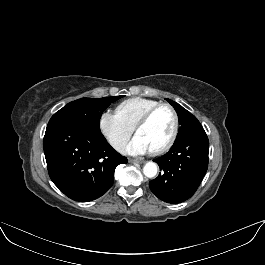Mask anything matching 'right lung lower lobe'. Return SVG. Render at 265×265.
<instances>
[{
    "mask_svg": "<svg viewBox=\"0 0 265 265\" xmlns=\"http://www.w3.org/2000/svg\"><path fill=\"white\" fill-rule=\"evenodd\" d=\"M43 148L51 180L79 202L102 196L113 184L116 166L127 163L101 131L73 123L47 125Z\"/></svg>",
    "mask_w": 265,
    "mask_h": 265,
    "instance_id": "98d812e1",
    "label": "right lung lower lobe"
}]
</instances>
